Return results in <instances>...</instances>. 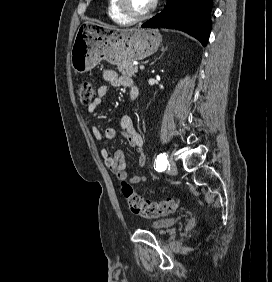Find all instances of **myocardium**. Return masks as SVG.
I'll list each match as a JSON object with an SVG mask.
<instances>
[{"mask_svg": "<svg viewBox=\"0 0 272 282\" xmlns=\"http://www.w3.org/2000/svg\"><path fill=\"white\" fill-rule=\"evenodd\" d=\"M158 0H154L150 9L144 13H136L130 7L128 0H117L116 6L118 10L129 20L139 21L151 16L157 8Z\"/></svg>", "mask_w": 272, "mask_h": 282, "instance_id": "obj_1", "label": "myocardium"}]
</instances>
